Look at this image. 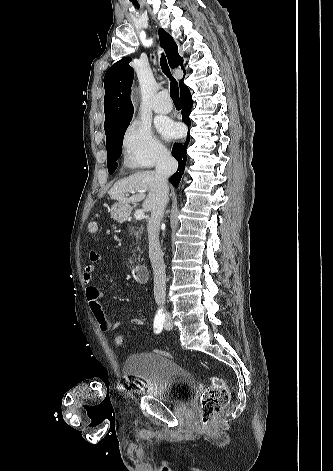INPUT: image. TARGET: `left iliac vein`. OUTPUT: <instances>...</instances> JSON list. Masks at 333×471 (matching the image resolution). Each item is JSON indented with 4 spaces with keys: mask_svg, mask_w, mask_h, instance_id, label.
<instances>
[{
    "mask_svg": "<svg viewBox=\"0 0 333 471\" xmlns=\"http://www.w3.org/2000/svg\"><path fill=\"white\" fill-rule=\"evenodd\" d=\"M164 327H165L166 330L172 329L173 322H172V319H171L170 315L166 316V319H165V322H164Z\"/></svg>",
    "mask_w": 333,
    "mask_h": 471,
    "instance_id": "4c4485c4",
    "label": "left iliac vein"
}]
</instances>
